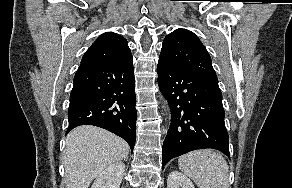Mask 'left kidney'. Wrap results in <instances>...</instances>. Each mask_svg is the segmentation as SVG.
I'll return each instance as SVG.
<instances>
[{
	"label": "left kidney",
	"instance_id": "left-kidney-1",
	"mask_svg": "<svg viewBox=\"0 0 292 188\" xmlns=\"http://www.w3.org/2000/svg\"><path fill=\"white\" fill-rule=\"evenodd\" d=\"M167 188H195L192 181L179 171H172L167 179Z\"/></svg>",
	"mask_w": 292,
	"mask_h": 188
}]
</instances>
